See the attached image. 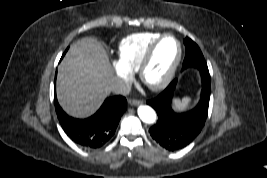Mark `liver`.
<instances>
[{"label": "liver", "mask_w": 267, "mask_h": 178, "mask_svg": "<svg viewBox=\"0 0 267 178\" xmlns=\"http://www.w3.org/2000/svg\"><path fill=\"white\" fill-rule=\"evenodd\" d=\"M114 80L103 46L95 38H81L70 46L58 67V101L71 116L87 117L99 108Z\"/></svg>", "instance_id": "1"}]
</instances>
